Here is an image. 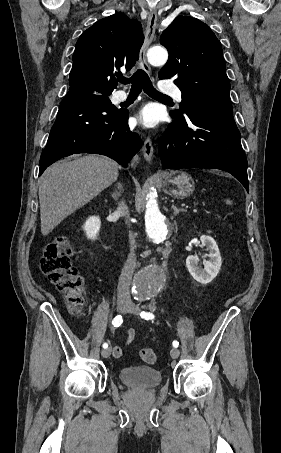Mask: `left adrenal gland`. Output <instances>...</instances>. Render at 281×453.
Segmentation results:
<instances>
[{
  "mask_svg": "<svg viewBox=\"0 0 281 453\" xmlns=\"http://www.w3.org/2000/svg\"><path fill=\"white\" fill-rule=\"evenodd\" d=\"M171 208H173V210H174L173 214H178V212H180V210H182V208H177V206H174V204H172Z\"/></svg>",
  "mask_w": 281,
  "mask_h": 453,
  "instance_id": "1",
  "label": "left adrenal gland"
}]
</instances>
